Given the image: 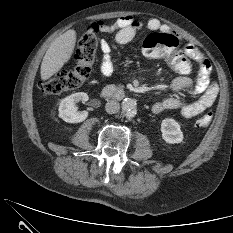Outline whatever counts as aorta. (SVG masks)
Listing matches in <instances>:
<instances>
[{"instance_id":"obj_1","label":"aorta","mask_w":233,"mask_h":233,"mask_svg":"<svg viewBox=\"0 0 233 233\" xmlns=\"http://www.w3.org/2000/svg\"><path fill=\"white\" fill-rule=\"evenodd\" d=\"M121 108L123 113L129 118H132L137 114L136 101L132 98H125L122 101Z\"/></svg>"}]
</instances>
